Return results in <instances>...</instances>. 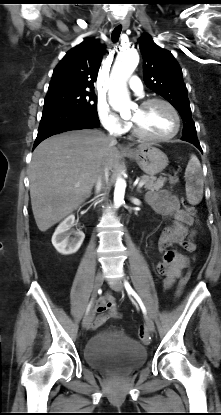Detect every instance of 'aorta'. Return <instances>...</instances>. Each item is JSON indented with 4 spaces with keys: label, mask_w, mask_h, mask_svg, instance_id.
Segmentation results:
<instances>
[{
    "label": "aorta",
    "mask_w": 221,
    "mask_h": 415,
    "mask_svg": "<svg viewBox=\"0 0 221 415\" xmlns=\"http://www.w3.org/2000/svg\"><path fill=\"white\" fill-rule=\"evenodd\" d=\"M139 63V55L135 50L120 53L112 69V85L109 90V103L115 111L129 110L131 101L127 92V80ZM126 182L119 177L115 184L114 204L120 206L124 200Z\"/></svg>",
    "instance_id": "aorta-1"
}]
</instances>
